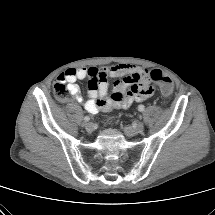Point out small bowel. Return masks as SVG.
I'll use <instances>...</instances> for the list:
<instances>
[{
	"mask_svg": "<svg viewBox=\"0 0 215 215\" xmlns=\"http://www.w3.org/2000/svg\"><path fill=\"white\" fill-rule=\"evenodd\" d=\"M121 78L114 83L113 92L108 96V78ZM89 79L88 99L80 93L78 80ZM58 80L67 83L70 95L90 114L113 109H126L135 102L151 96L146 91L149 86L148 71L132 64H117L108 67L69 68L62 72ZM136 87L137 91L133 88Z\"/></svg>",
	"mask_w": 215,
	"mask_h": 215,
	"instance_id": "small-bowel-1",
	"label": "small bowel"
}]
</instances>
